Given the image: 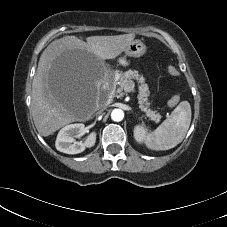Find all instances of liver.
I'll use <instances>...</instances> for the list:
<instances>
[{"instance_id": "liver-1", "label": "liver", "mask_w": 227, "mask_h": 227, "mask_svg": "<svg viewBox=\"0 0 227 227\" xmlns=\"http://www.w3.org/2000/svg\"><path fill=\"white\" fill-rule=\"evenodd\" d=\"M135 34L90 36L86 42L75 36L54 40L42 52L32 83L31 112L40 135L46 137L61 127L83 118H90L94 108L84 111L82 104L88 92L91 100L98 101L102 83L99 61L119 56L134 40ZM66 60L81 63L88 74L85 88L74 95L59 92L52 81L55 67Z\"/></svg>"}]
</instances>
